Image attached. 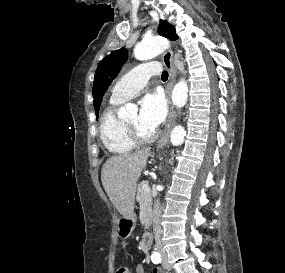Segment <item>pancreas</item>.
I'll list each match as a JSON object with an SVG mask.
<instances>
[{
  "mask_svg": "<svg viewBox=\"0 0 285 273\" xmlns=\"http://www.w3.org/2000/svg\"><path fill=\"white\" fill-rule=\"evenodd\" d=\"M144 182H141L138 185L137 189V201L139 202L142 210L145 212L146 216V226L149 225L150 217H151V207H152V195L151 192H146L143 190Z\"/></svg>",
  "mask_w": 285,
  "mask_h": 273,
  "instance_id": "cf45deb5",
  "label": "pancreas"
}]
</instances>
